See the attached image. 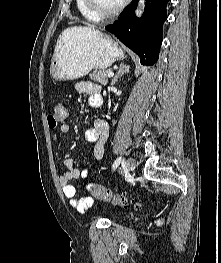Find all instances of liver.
<instances>
[{
    "label": "liver",
    "instance_id": "liver-1",
    "mask_svg": "<svg viewBox=\"0 0 221 263\" xmlns=\"http://www.w3.org/2000/svg\"><path fill=\"white\" fill-rule=\"evenodd\" d=\"M85 30H95V26L88 25L87 27H83Z\"/></svg>",
    "mask_w": 221,
    "mask_h": 263
}]
</instances>
